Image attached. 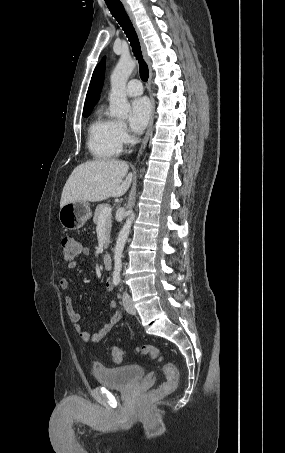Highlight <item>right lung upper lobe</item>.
Instances as JSON below:
<instances>
[{"label":"right lung upper lobe","instance_id":"obj_1","mask_svg":"<svg viewBox=\"0 0 285 453\" xmlns=\"http://www.w3.org/2000/svg\"><path fill=\"white\" fill-rule=\"evenodd\" d=\"M104 70H105V58L101 60V62L97 65L93 72L83 112L90 110L92 111L93 107L98 102L99 94L104 84Z\"/></svg>","mask_w":285,"mask_h":453}]
</instances>
